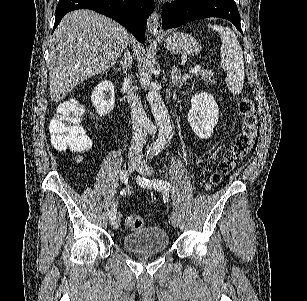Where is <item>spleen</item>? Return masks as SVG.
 I'll return each mask as SVG.
<instances>
[{"mask_svg":"<svg viewBox=\"0 0 307 301\" xmlns=\"http://www.w3.org/2000/svg\"><path fill=\"white\" fill-rule=\"evenodd\" d=\"M208 26L219 32L221 36V68L227 72L226 86L233 94H240L245 78L244 58L240 42L229 26H219V24H208Z\"/></svg>","mask_w":307,"mask_h":301,"instance_id":"3e777b00","label":"spleen"}]
</instances>
